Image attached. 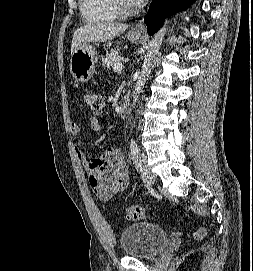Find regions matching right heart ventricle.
Here are the masks:
<instances>
[{
	"mask_svg": "<svg viewBox=\"0 0 253 271\" xmlns=\"http://www.w3.org/2000/svg\"><path fill=\"white\" fill-rule=\"evenodd\" d=\"M80 10L83 19L90 24L112 22L120 15L114 0H80Z\"/></svg>",
	"mask_w": 253,
	"mask_h": 271,
	"instance_id": "right-heart-ventricle-1",
	"label": "right heart ventricle"
}]
</instances>
